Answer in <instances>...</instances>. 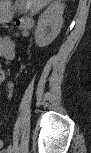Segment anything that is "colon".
Wrapping results in <instances>:
<instances>
[{
	"mask_svg": "<svg viewBox=\"0 0 91 153\" xmlns=\"http://www.w3.org/2000/svg\"><path fill=\"white\" fill-rule=\"evenodd\" d=\"M33 22L31 19H23L17 22V25L24 31L28 30L32 26ZM11 42L10 37H3L1 39V45H8Z\"/></svg>",
	"mask_w": 91,
	"mask_h": 153,
	"instance_id": "obj_1",
	"label": "colon"
}]
</instances>
